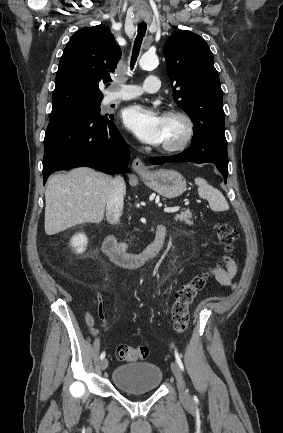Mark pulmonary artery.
<instances>
[{"label":"pulmonary artery","instance_id":"obj_1","mask_svg":"<svg viewBox=\"0 0 283 433\" xmlns=\"http://www.w3.org/2000/svg\"><path fill=\"white\" fill-rule=\"evenodd\" d=\"M142 85L145 92L153 93L157 92L159 87L162 85V80L158 78L157 72H148L147 78H143ZM126 90V94H125ZM125 90H120V94L110 95L107 98L109 104L133 99L141 95L139 88H130V85H125Z\"/></svg>","mask_w":283,"mask_h":433}]
</instances>
